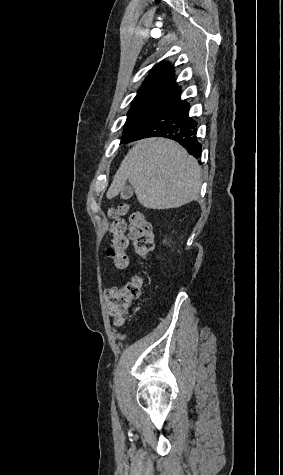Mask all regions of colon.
<instances>
[{"label": "colon", "mask_w": 283, "mask_h": 475, "mask_svg": "<svg viewBox=\"0 0 283 475\" xmlns=\"http://www.w3.org/2000/svg\"><path fill=\"white\" fill-rule=\"evenodd\" d=\"M124 215L129 216V237L124 233L122 220ZM108 217L110 220V242L105 255L118 269L128 267L129 258L126 252L129 247L140 258L150 256L153 248V235L142 211L131 209L127 203H119L116 207L108 210ZM141 286L142 280L135 277L124 284L113 285L109 288L106 299L116 326L122 325L132 304L139 298Z\"/></svg>", "instance_id": "obj_1"}]
</instances>
